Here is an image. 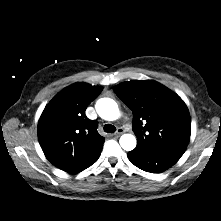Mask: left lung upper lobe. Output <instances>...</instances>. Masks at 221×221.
Returning <instances> with one entry per match:
<instances>
[{
	"label": "left lung upper lobe",
	"instance_id": "obj_1",
	"mask_svg": "<svg viewBox=\"0 0 221 221\" xmlns=\"http://www.w3.org/2000/svg\"><path fill=\"white\" fill-rule=\"evenodd\" d=\"M133 112L137 149L183 154L188 146L191 120L184 101L153 80H133L114 87Z\"/></svg>",
	"mask_w": 221,
	"mask_h": 221
}]
</instances>
